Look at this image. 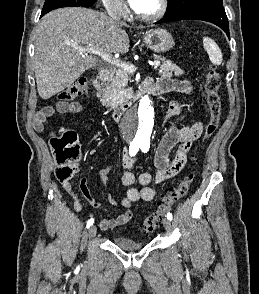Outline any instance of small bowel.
I'll list each match as a JSON object with an SVG mask.
<instances>
[{
    "instance_id": "1",
    "label": "small bowel",
    "mask_w": 259,
    "mask_h": 294,
    "mask_svg": "<svg viewBox=\"0 0 259 294\" xmlns=\"http://www.w3.org/2000/svg\"><path fill=\"white\" fill-rule=\"evenodd\" d=\"M157 94L166 92H179L190 94L192 86L188 81L177 80L171 78H162L155 84ZM81 105L78 102H64L60 101L55 105H48L38 111L32 121L33 129L37 132L43 131L46 119L54 113L60 114H76L80 112ZM182 104L178 101L171 103L167 109L165 116V133L160 139L155 150L154 162L156 170L154 174L143 172L138 177L132 172L134 166L133 156H130L129 150H125L122 156V165L124 173L121 182L125 187H128L125 197L118 201L113 197H109V202L116 206L125 208L123 212L111 219H103L100 221L99 226L101 230L113 229L117 226L124 225L132 218L131 205L140 200L151 201L155 192L150 187L154 182L159 184L166 179L178 174L187 162V154L194 141L200 138L203 125L201 122H196L178 128L175 124L171 123V119L180 113ZM178 145L174 158L169 159L171 150ZM111 166H106L100 170V182L105 185L109 181ZM136 182L141 186L140 189L132 187ZM64 192L72 199L74 207L77 211L81 210V205L78 196L69 181L62 183ZM81 193L95 206L100 207V204L94 200L88 188L87 179L82 178L79 185Z\"/></svg>"
}]
</instances>
